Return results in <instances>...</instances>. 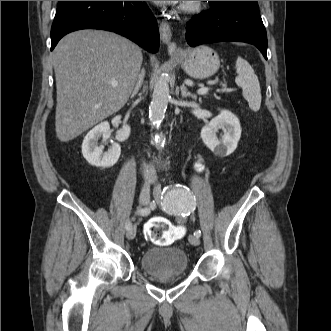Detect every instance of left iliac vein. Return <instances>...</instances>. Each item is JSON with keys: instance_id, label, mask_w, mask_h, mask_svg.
Returning <instances> with one entry per match:
<instances>
[{"instance_id": "obj_1", "label": "left iliac vein", "mask_w": 331, "mask_h": 331, "mask_svg": "<svg viewBox=\"0 0 331 331\" xmlns=\"http://www.w3.org/2000/svg\"><path fill=\"white\" fill-rule=\"evenodd\" d=\"M155 189H156V190H160V185L157 184V185L155 186ZM188 240H189L190 244H192V245H194V246H198V245L200 244V239H199V237L196 236V235H193V234L189 235Z\"/></svg>"}]
</instances>
